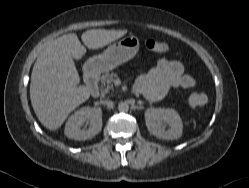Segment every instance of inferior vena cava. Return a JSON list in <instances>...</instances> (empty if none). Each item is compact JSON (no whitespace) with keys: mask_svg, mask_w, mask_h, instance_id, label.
I'll use <instances>...</instances> for the list:
<instances>
[{"mask_svg":"<svg viewBox=\"0 0 249 188\" xmlns=\"http://www.w3.org/2000/svg\"><path fill=\"white\" fill-rule=\"evenodd\" d=\"M103 104L107 105V106H112L113 105V102L110 101V100H106V101H103Z\"/></svg>","mask_w":249,"mask_h":188,"instance_id":"1","label":"inferior vena cava"}]
</instances>
